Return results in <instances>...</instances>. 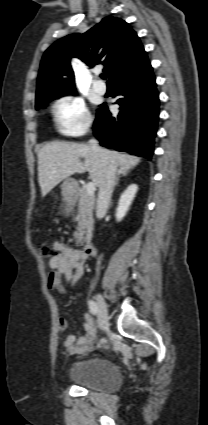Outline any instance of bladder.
Here are the masks:
<instances>
[{
    "label": "bladder",
    "mask_w": 208,
    "mask_h": 425,
    "mask_svg": "<svg viewBox=\"0 0 208 425\" xmlns=\"http://www.w3.org/2000/svg\"><path fill=\"white\" fill-rule=\"evenodd\" d=\"M67 378L78 386L101 392H112L122 382L116 365L102 357H90L73 363Z\"/></svg>",
    "instance_id": "bladder-1"
}]
</instances>
